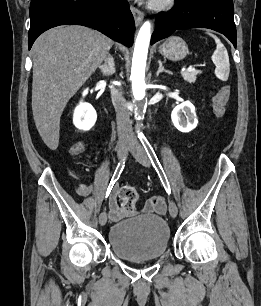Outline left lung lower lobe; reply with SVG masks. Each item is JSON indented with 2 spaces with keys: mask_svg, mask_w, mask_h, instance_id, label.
I'll list each match as a JSON object with an SVG mask.
<instances>
[{
  "mask_svg": "<svg viewBox=\"0 0 261 306\" xmlns=\"http://www.w3.org/2000/svg\"><path fill=\"white\" fill-rule=\"evenodd\" d=\"M232 0H176L175 7L156 16L151 44L176 30L208 28L224 34L236 47V27Z\"/></svg>",
  "mask_w": 261,
  "mask_h": 306,
  "instance_id": "obj_1",
  "label": "left lung lower lobe"
}]
</instances>
